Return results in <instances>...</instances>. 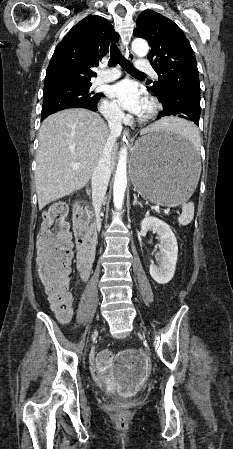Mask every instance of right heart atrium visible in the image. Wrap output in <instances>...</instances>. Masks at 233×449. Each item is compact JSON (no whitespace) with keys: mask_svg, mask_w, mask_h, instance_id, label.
<instances>
[{"mask_svg":"<svg viewBox=\"0 0 233 449\" xmlns=\"http://www.w3.org/2000/svg\"><path fill=\"white\" fill-rule=\"evenodd\" d=\"M100 111L109 122L120 123L124 119L122 110L113 101L107 99L102 100L100 104Z\"/></svg>","mask_w":233,"mask_h":449,"instance_id":"d8ad5b80","label":"right heart atrium"}]
</instances>
